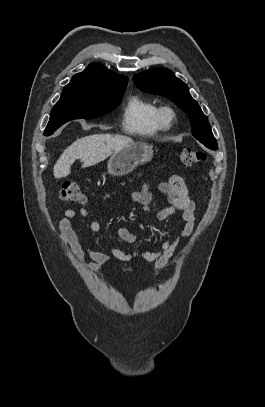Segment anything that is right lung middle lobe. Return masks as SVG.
I'll return each instance as SVG.
<instances>
[{
	"label": "right lung middle lobe",
	"mask_w": 265,
	"mask_h": 407,
	"mask_svg": "<svg viewBox=\"0 0 265 407\" xmlns=\"http://www.w3.org/2000/svg\"><path fill=\"white\" fill-rule=\"evenodd\" d=\"M127 85H110L91 81H75L65 86L44 135L73 119H93L112 111L121 102Z\"/></svg>",
	"instance_id": "dd1d6c3e"
}]
</instances>
